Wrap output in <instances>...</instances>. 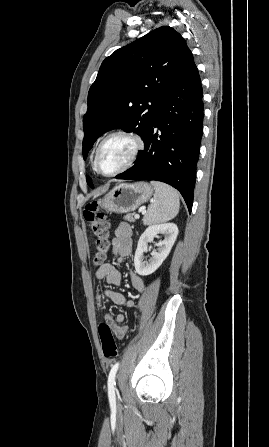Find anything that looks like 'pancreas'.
Wrapping results in <instances>:
<instances>
[{"instance_id": "obj_1", "label": "pancreas", "mask_w": 269, "mask_h": 447, "mask_svg": "<svg viewBox=\"0 0 269 447\" xmlns=\"http://www.w3.org/2000/svg\"><path fill=\"white\" fill-rule=\"evenodd\" d=\"M124 220H126V222H135L133 214H126V216H124Z\"/></svg>"}]
</instances>
